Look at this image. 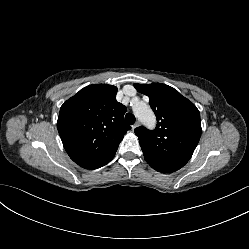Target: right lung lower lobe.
I'll return each mask as SVG.
<instances>
[{"label":"right lung lower lobe","instance_id":"obj_1","mask_svg":"<svg viewBox=\"0 0 249 249\" xmlns=\"http://www.w3.org/2000/svg\"><path fill=\"white\" fill-rule=\"evenodd\" d=\"M115 153H116V151L109 153L105 156H102L100 158L82 161V162H79L77 164L80 165L81 167H84L87 169L100 168V167L106 165L114 157Z\"/></svg>","mask_w":249,"mask_h":249}]
</instances>
